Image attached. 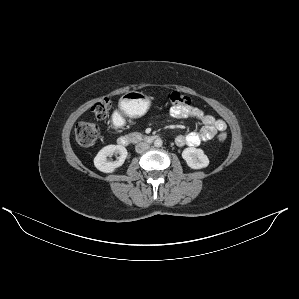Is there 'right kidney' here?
I'll return each instance as SVG.
<instances>
[{
	"instance_id": "obj_1",
	"label": "right kidney",
	"mask_w": 299,
	"mask_h": 299,
	"mask_svg": "<svg viewBox=\"0 0 299 299\" xmlns=\"http://www.w3.org/2000/svg\"><path fill=\"white\" fill-rule=\"evenodd\" d=\"M113 154L119 155L118 160L109 162L107 157H110ZM127 154V149L124 146L107 145L103 147L94 158V165L101 172L112 173L116 168L120 167L124 163Z\"/></svg>"
}]
</instances>
